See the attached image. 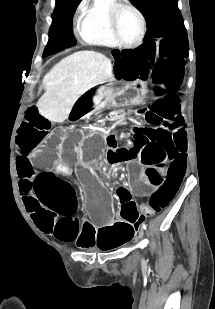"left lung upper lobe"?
I'll return each instance as SVG.
<instances>
[{"label":"left lung upper lobe","mask_w":215,"mask_h":309,"mask_svg":"<svg viewBox=\"0 0 215 309\" xmlns=\"http://www.w3.org/2000/svg\"><path fill=\"white\" fill-rule=\"evenodd\" d=\"M143 13L147 32L144 41L158 38L180 40L188 43L187 31L177 0H131Z\"/></svg>","instance_id":"5c2ea615"}]
</instances>
